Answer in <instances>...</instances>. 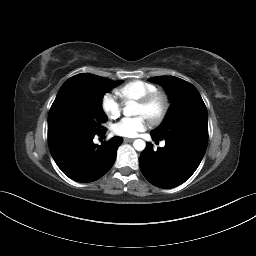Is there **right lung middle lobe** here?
I'll use <instances>...</instances> for the list:
<instances>
[{
	"mask_svg": "<svg viewBox=\"0 0 256 256\" xmlns=\"http://www.w3.org/2000/svg\"><path fill=\"white\" fill-rule=\"evenodd\" d=\"M73 77L79 90L75 94L55 99L48 116V129H72L81 133L102 131L101 124L107 121L102 110L103 94L122 81H112L89 73Z\"/></svg>",
	"mask_w": 256,
	"mask_h": 256,
	"instance_id": "right-lung-middle-lobe-1",
	"label": "right lung middle lobe"
}]
</instances>
